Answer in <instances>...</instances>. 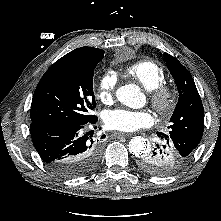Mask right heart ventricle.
I'll use <instances>...</instances> for the list:
<instances>
[{"mask_svg":"<svg viewBox=\"0 0 221 221\" xmlns=\"http://www.w3.org/2000/svg\"><path fill=\"white\" fill-rule=\"evenodd\" d=\"M126 71L148 91L156 88L165 80V72L163 68L159 64L150 60L134 62L127 67Z\"/></svg>","mask_w":221,"mask_h":221,"instance_id":"right-heart-ventricle-1","label":"right heart ventricle"}]
</instances>
